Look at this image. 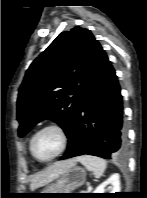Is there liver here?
Segmentation results:
<instances>
[{
	"label": "liver",
	"mask_w": 147,
	"mask_h": 198,
	"mask_svg": "<svg viewBox=\"0 0 147 198\" xmlns=\"http://www.w3.org/2000/svg\"><path fill=\"white\" fill-rule=\"evenodd\" d=\"M76 162V158L55 162L53 165L49 166L45 171L39 172L36 175H34L30 184V189L35 190L38 187L50 183L51 181L65 173L67 170L74 167L76 165Z\"/></svg>",
	"instance_id": "liver-1"
}]
</instances>
